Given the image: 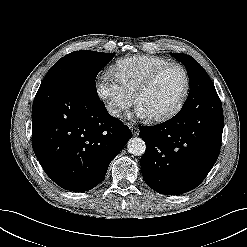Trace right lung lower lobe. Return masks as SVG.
<instances>
[{"instance_id": "1", "label": "right lung lower lobe", "mask_w": 247, "mask_h": 247, "mask_svg": "<svg viewBox=\"0 0 247 247\" xmlns=\"http://www.w3.org/2000/svg\"><path fill=\"white\" fill-rule=\"evenodd\" d=\"M131 137L94 87L75 78L40 85L32 107L33 150L61 188L83 192L97 186Z\"/></svg>"}]
</instances>
